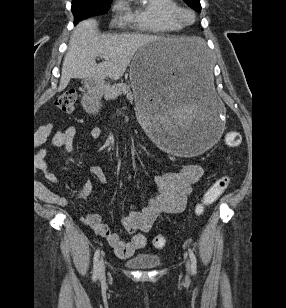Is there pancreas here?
<instances>
[{
	"instance_id": "cf45deb5",
	"label": "pancreas",
	"mask_w": 286,
	"mask_h": 308,
	"mask_svg": "<svg viewBox=\"0 0 286 308\" xmlns=\"http://www.w3.org/2000/svg\"><path fill=\"white\" fill-rule=\"evenodd\" d=\"M103 94L106 100H114L122 94L133 97L130 86L125 83H117L111 87H105Z\"/></svg>"
}]
</instances>
